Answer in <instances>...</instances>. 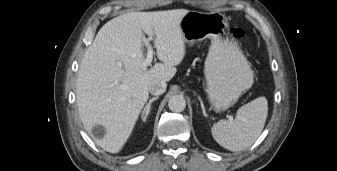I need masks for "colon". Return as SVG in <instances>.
Listing matches in <instances>:
<instances>
[{
  "mask_svg": "<svg viewBox=\"0 0 337 171\" xmlns=\"http://www.w3.org/2000/svg\"><path fill=\"white\" fill-rule=\"evenodd\" d=\"M232 33H233L234 37H237V38L243 36V31L239 28L234 29Z\"/></svg>",
  "mask_w": 337,
  "mask_h": 171,
  "instance_id": "5ec220e1",
  "label": "colon"
}]
</instances>
